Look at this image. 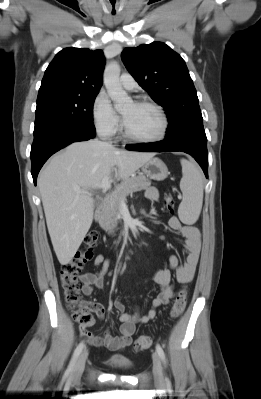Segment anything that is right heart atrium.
<instances>
[{
  "instance_id": "d8ad5b80",
  "label": "right heart atrium",
  "mask_w": 261,
  "mask_h": 399,
  "mask_svg": "<svg viewBox=\"0 0 261 399\" xmlns=\"http://www.w3.org/2000/svg\"><path fill=\"white\" fill-rule=\"evenodd\" d=\"M93 123L103 137H113L120 129V118L106 95L98 94L92 105Z\"/></svg>"
}]
</instances>
